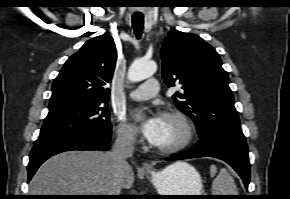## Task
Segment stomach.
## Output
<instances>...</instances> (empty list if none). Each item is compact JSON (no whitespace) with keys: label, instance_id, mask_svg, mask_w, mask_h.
I'll return each mask as SVG.
<instances>
[{"label":"stomach","instance_id":"obj_1","mask_svg":"<svg viewBox=\"0 0 290 199\" xmlns=\"http://www.w3.org/2000/svg\"><path fill=\"white\" fill-rule=\"evenodd\" d=\"M160 195H202V179L197 170L186 162H177L162 171H148ZM176 198H195L176 196Z\"/></svg>","mask_w":290,"mask_h":199}]
</instances>
